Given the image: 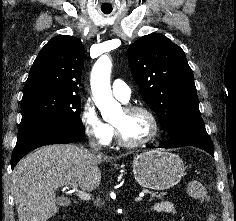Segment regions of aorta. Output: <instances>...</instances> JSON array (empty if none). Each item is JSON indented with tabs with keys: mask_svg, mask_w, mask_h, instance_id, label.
Returning a JSON list of instances; mask_svg holds the SVG:
<instances>
[{
	"mask_svg": "<svg viewBox=\"0 0 236 221\" xmlns=\"http://www.w3.org/2000/svg\"><path fill=\"white\" fill-rule=\"evenodd\" d=\"M111 61L108 56L104 55L98 59L95 68H99L102 72V78L97 81L92 77L91 87L95 97L96 105L104 118H114L122 114L120 103L112 96L110 86Z\"/></svg>",
	"mask_w": 236,
	"mask_h": 221,
	"instance_id": "aorta-1",
	"label": "aorta"
}]
</instances>
